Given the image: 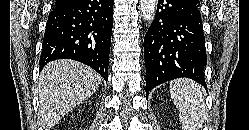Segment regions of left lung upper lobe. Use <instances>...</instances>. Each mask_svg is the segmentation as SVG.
Listing matches in <instances>:
<instances>
[{"mask_svg": "<svg viewBox=\"0 0 249 130\" xmlns=\"http://www.w3.org/2000/svg\"><path fill=\"white\" fill-rule=\"evenodd\" d=\"M191 1L200 6L199 0H191Z\"/></svg>", "mask_w": 249, "mask_h": 130, "instance_id": "5c2ea615", "label": "left lung upper lobe"}]
</instances>
